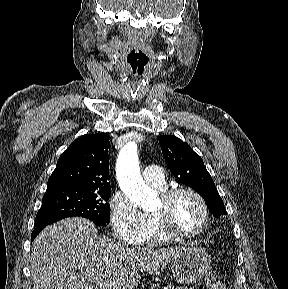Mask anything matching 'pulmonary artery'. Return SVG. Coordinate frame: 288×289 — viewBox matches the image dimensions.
<instances>
[{
  "label": "pulmonary artery",
  "instance_id": "1",
  "mask_svg": "<svg viewBox=\"0 0 288 289\" xmlns=\"http://www.w3.org/2000/svg\"><path fill=\"white\" fill-rule=\"evenodd\" d=\"M142 174L147 184L160 189L165 187V177L161 167L149 165L143 170Z\"/></svg>",
  "mask_w": 288,
  "mask_h": 289
}]
</instances>
